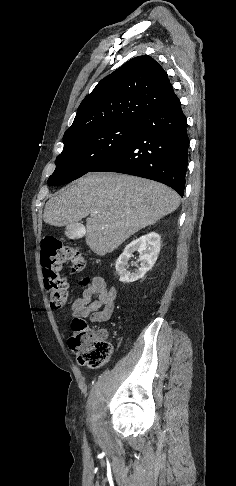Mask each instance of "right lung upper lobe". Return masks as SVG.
Returning <instances> with one entry per match:
<instances>
[{
    "instance_id": "1",
    "label": "right lung upper lobe",
    "mask_w": 236,
    "mask_h": 486,
    "mask_svg": "<svg viewBox=\"0 0 236 486\" xmlns=\"http://www.w3.org/2000/svg\"><path fill=\"white\" fill-rule=\"evenodd\" d=\"M178 101L159 63L149 56H138L102 79L84 98L63 139L93 129L136 123L146 114Z\"/></svg>"
}]
</instances>
